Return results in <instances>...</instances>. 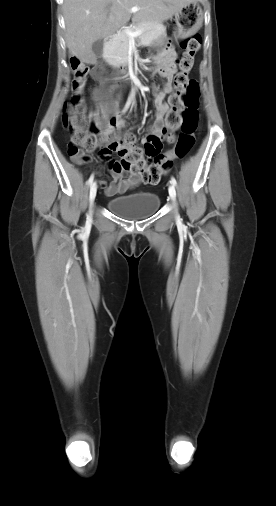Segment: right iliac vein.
Masks as SVG:
<instances>
[{
	"instance_id": "63e3f726",
	"label": "right iliac vein",
	"mask_w": 276,
	"mask_h": 506,
	"mask_svg": "<svg viewBox=\"0 0 276 506\" xmlns=\"http://www.w3.org/2000/svg\"><path fill=\"white\" fill-rule=\"evenodd\" d=\"M96 192H97V186H96V183H92L91 184V187H90V194H89V202H90V207L92 208L93 204H94V200H95V197H96ZM92 210H90V214H91Z\"/></svg>"
}]
</instances>
